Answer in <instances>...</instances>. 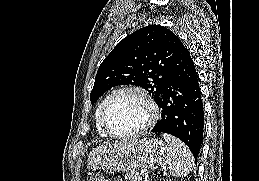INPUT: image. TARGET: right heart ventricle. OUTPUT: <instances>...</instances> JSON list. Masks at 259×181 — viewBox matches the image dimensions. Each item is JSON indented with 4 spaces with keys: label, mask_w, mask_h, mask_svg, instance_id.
Wrapping results in <instances>:
<instances>
[{
    "label": "right heart ventricle",
    "mask_w": 259,
    "mask_h": 181,
    "mask_svg": "<svg viewBox=\"0 0 259 181\" xmlns=\"http://www.w3.org/2000/svg\"><path fill=\"white\" fill-rule=\"evenodd\" d=\"M105 99L98 105L95 114H94V119H95V125H96V130L97 133L102 136V137H109L105 129L102 127L101 122H100V112L102 105L104 103Z\"/></svg>",
    "instance_id": "e07e8e85"
}]
</instances>
